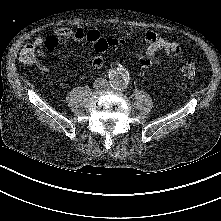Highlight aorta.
Listing matches in <instances>:
<instances>
[{"label":"aorta","mask_w":221,"mask_h":221,"mask_svg":"<svg viewBox=\"0 0 221 221\" xmlns=\"http://www.w3.org/2000/svg\"><path fill=\"white\" fill-rule=\"evenodd\" d=\"M130 75L126 69L118 68L109 73L110 84L115 89H124L130 83Z\"/></svg>","instance_id":"obj_1"}]
</instances>
